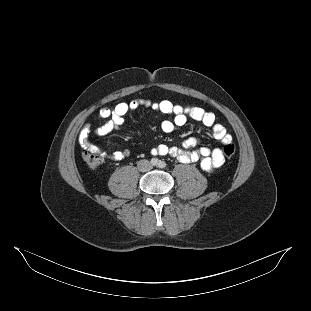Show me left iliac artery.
I'll use <instances>...</instances> for the list:
<instances>
[{
    "mask_svg": "<svg viewBox=\"0 0 311 311\" xmlns=\"http://www.w3.org/2000/svg\"><path fill=\"white\" fill-rule=\"evenodd\" d=\"M158 166L160 168H164V167H166V163L164 161H159Z\"/></svg>",
    "mask_w": 311,
    "mask_h": 311,
    "instance_id": "1",
    "label": "left iliac artery"
}]
</instances>
